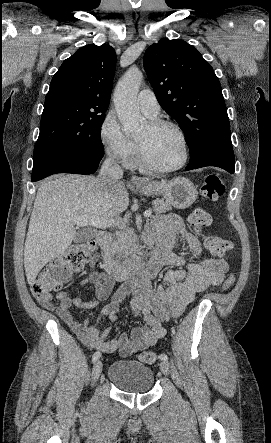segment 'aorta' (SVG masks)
Listing matches in <instances>:
<instances>
[{
    "label": "aorta",
    "mask_w": 271,
    "mask_h": 443,
    "mask_svg": "<svg viewBox=\"0 0 271 443\" xmlns=\"http://www.w3.org/2000/svg\"><path fill=\"white\" fill-rule=\"evenodd\" d=\"M142 80V72L131 66L116 84L113 102L124 132H141L147 122L146 118L141 116L137 104V94Z\"/></svg>",
    "instance_id": "aorta-1"
}]
</instances>
